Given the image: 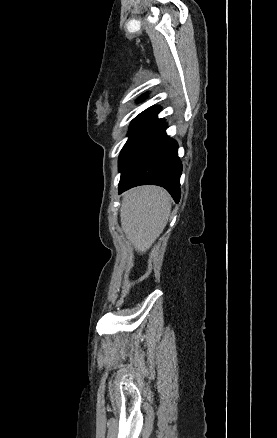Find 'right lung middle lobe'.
<instances>
[{
	"label": "right lung middle lobe",
	"mask_w": 277,
	"mask_h": 438,
	"mask_svg": "<svg viewBox=\"0 0 277 438\" xmlns=\"http://www.w3.org/2000/svg\"><path fill=\"white\" fill-rule=\"evenodd\" d=\"M157 114L158 112L141 114L132 121L128 133L129 139L124 145L119 158L121 178L164 124V119H158Z\"/></svg>",
	"instance_id": "right-lung-middle-lobe-1"
}]
</instances>
